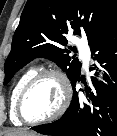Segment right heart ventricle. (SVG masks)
<instances>
[{
  "instance_id": "1",
  "label": "right heart ventricle",
  "mask_w": 117,
  "mask_h": 136,
  "mask_svg": "<svg viewBox=\"0 0 117 136\" xmlns=\"http://www.w3.org/2000/svg\"><path fill=\"white\" fill-rule=\"evenodd\" d=\"M36 74L35 68H30L25 71L20 77L16 80L10 95V118L15 125H21L22 121L16 115V105L18 101L19 94L25 84Z\"/></svg>"
}]
</instances>
